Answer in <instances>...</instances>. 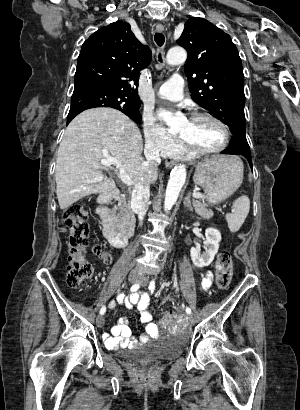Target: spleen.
<instances>
[{
    "mask_svg": "<svg viewBox=\"0 0 300 410\" xmlns=\"http://www.w3.org/2000/svg\"><path fill=\"white\" fill-rule=\"evenodd\" d=\"M249 209L250 200L247 196L242 195L234 201L232 212L226 214V221L231 232L235 233L240 229L249 213Z\"/></svg>",
    "mask_w": 300,
    "mask_h": 410,
    "instance_id": "1",
    "label": "spleen"
}]
</instances>
